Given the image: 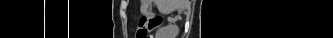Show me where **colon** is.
<instances>
[{
    "label": "colon",
    "mask_w": 333,
    "mask_h": 38,
    "mask_svg": "<svg viewBox=\"0 0 333 38\" xmlns=\"http://www.w3.org/2000/svg\"><path fill=\"white\" fill-rule=\"evenodd\" d=\"M163 22L161 16L142 17L140 18L136 30V38H152L150 33Z\"/></svg>",
    "instance_id": "5ec220e1"
}]
</instances>
